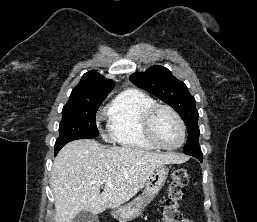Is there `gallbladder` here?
Returning <instances> with one entry per match:
<instances>
[{
    "label": "gallbladder",
    "mask_w": 257,
    "mask_h": 222,
    "mask_svg": "<svg viewBox=\"0 0 257 222\" xmlns=\"http://www.w3.org/2000/svg\"><path fill=\"white\" fill-rule=\"evenodd\" d=\"M72 222H99L97 215L88 212V211H81L79 212Z\"/></svg>",
    "instance_id": "1"
}]
</instances>
